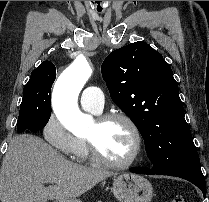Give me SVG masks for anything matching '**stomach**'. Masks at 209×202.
I'll return each mask as SVG.
<instances>
[{
	"label": "stomach",
	"mask_w": 209,
	"mask_h": 202,
	"mask_svg": "<svg viewBox=\"0 0 209 202\" xmlns=\"http://www.w3.org/2000/svg\"><path fill=\"white\" fill-rule=\"evenodd\" d=\"M113 194L119 202H150L153 197L151 183L140 175L121 174L114 178ZM56 202H81L77 199H62Z\"/></svg>",
	"instance_id": "obj_1"
}]
</instances>
